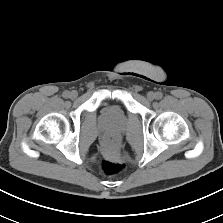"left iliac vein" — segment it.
<instances>
[{"instance_id": "obj_1", "label": "left iliac vein", "mask_w": 223, "mask_h": 223, "mask_svg": "<svg viewBox=\"0 0 223 223\" xmlns=\"http://www.w3.org/2000/svg\"><path fill=\"white\" fill-rule=\"evenodd\" d=\"M147 99H148L149 101L154 100V99H155V94H154V92H152V91L148 92V93H147Z\"/></svg>"}]
</instances>
